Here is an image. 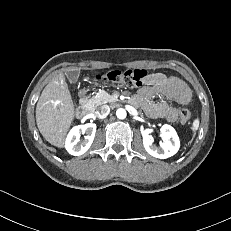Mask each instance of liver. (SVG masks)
Instances as JSON below:
<instances>
[{"mask_svg": "<svg viewBox=\"0 0 231 231\" xmlns=\"http://www.w3.org/2000/svg\"><path fill=\"white\" fill-rule=\"evenodd\" d=\"M75 114V104L65 75L59 73L44 88L37 102L38 129L51 145L62 148Z\"/></svg>", "mask_w": 231, "mask_h": 231, "instance_id": "1", "label": "liver"}]
</instances>
